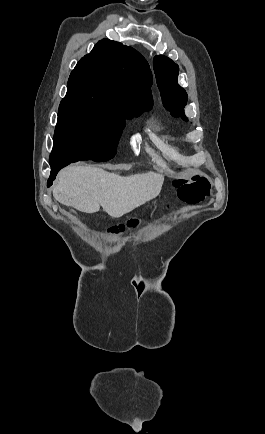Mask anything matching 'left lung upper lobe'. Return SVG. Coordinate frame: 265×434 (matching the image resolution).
I'll return each instance as SVG.
<instances>
[{"mask_svg": "<svg viewBox=\"0 0 265 434\" xmlns=\"http://www.w3.org/2000/svg\"><path fill=\"white\" fill-rule=\"evenodd\" d=\"M153 67L164 106L172 116L188 121L184 114L187 94L177 83L178 65L170 58L158 55L154 57Z\"/></svg>", "mask_w": 265, "mask_h": 434, "instance_id": "obj_1", "label": "left lung upper lobe"}]
</instances>
